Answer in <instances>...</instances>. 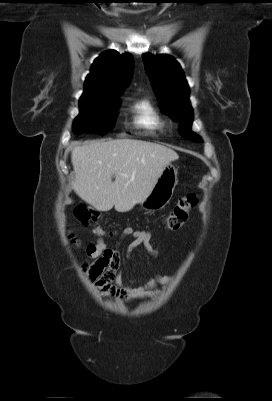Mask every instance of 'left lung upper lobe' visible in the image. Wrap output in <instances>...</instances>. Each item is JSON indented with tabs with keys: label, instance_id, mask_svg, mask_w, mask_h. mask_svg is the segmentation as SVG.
Masks as SVG:
<instances>
[{
	"label": "left lung upper lobe",
	"instance_id": "obj_1",
	"mask_svg": "<svg viewBox=\"0 0 272 401\" xmlns=\"http://www.w3.org/2000/svg\"><path fill=\"white\" fill-rule=\"evenodd\" d=\"M143 61L160 100L161 110L180 122L179 132L183 137L202 142L201 138L190 130L193 122L190 91L179 63L168 55L151 54H144Z\"/></svg>",
	"mask_w": 272,
	"mask_h": 401
}]
</instances>
